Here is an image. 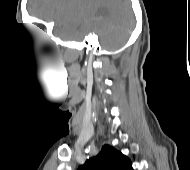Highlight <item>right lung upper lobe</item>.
Segmentation results:
<instances>
[{"label": "right lung upper lobe", "instance_id": "right-lung-upper-lobe-1", "mask_svg": "<svg viewBox=\"0 0 190 170\" xmlns=\"http://www.w3.org/2000/svg\"><path fill=\"white\" fill-rule=\"evenodd\" d=\"M78 170H133L128 157L109 145H104L100 153L86 160Z\"/></svg>", "mask_w": 190, "mask_h": 170}]
</instances>
